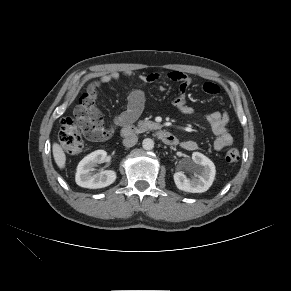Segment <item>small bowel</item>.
Here are the masks:
<instances>
[{
	"mask_svg": "<svg viewBox=\"0 0 291 291\" xmlns=\"http://www.w3.org/2000/svg\"><path fill=\"white\" fill-rule=\"evenodd\" d=\"M121 77L134 78L135 74L131 71L124 73L113 72L101 76L98 80L94 81L89 86V91L97 92L99 88L107 85L111 82L119 80ZM161 75L159 73H147L138 76L139 80L144 83H153L157 81ZM168 78L174 82L179 83L178 92L173 100L174 107L183 114H193L194 108L186 103V91L192 84V78L188 75L172 71L168 74ZM204 92L210 95H217L220 92L219 86L214 82H205L202 86ZM145 103V95L141 89H133L127 98V107L114 119V124L123 126L125 124H131L139 118L141 115ZM94 126L92 132L87 136L95 141H101L109 138L112 132L109 127L104 126L99 111L94 110ZM206 120L216 135L213 142V148L220 151L226 147H229L233 143V137L228 130L229 117L226 112H212L206 116ZM181 147L188 151H194L198 149V144L193 140H186L181 143Z\"/></svg>",
	"mask_w": 291,
	"mask_h": 291,
	"instance_id": "c3829d8e",
	"label": "small bowel"
}]
</instances>
